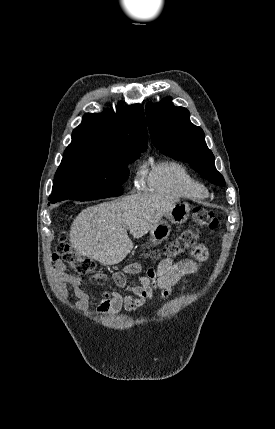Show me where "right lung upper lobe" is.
<instances>
[{"label": "right lung upper lobe", "mask_w": 275, "mask_h": 429, "mask_svg": "<svg viewBox=\"0 0 275 429\" xmlns=\"http://www.w3.org/2000/svg\"><path fill=\"white\" fill-rule=\"evenodd\" d=\"M147 128L140 104L120 108L116 113H88L72 132V141L63 159L84 157H114L126 153H141L147 149Z\"/></svg>", "instance_id": "1"}]
</instances>
